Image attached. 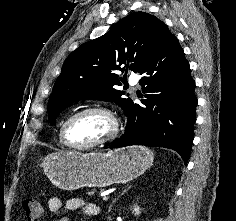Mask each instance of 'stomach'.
Returning <instances> with one entry per match:
<instances>
[{
    "instance_id": "1",
    "label": "stomach",
    "mask_w": 236,
    "mask_h": 221,
    "mask_svg": "<svg viewBox=\"0 0 236 221\" xmlns=\"http://www.w3.org/2000/svg\"><path fill=\"white\" fill-rule=\"evenodd\" d=\"M153 159V152L144 146L108 152L61 151L46 156L42 168L55 186L73 191L127 183L142 175L152 165Z\"/></svg>"
}]
</instances>
